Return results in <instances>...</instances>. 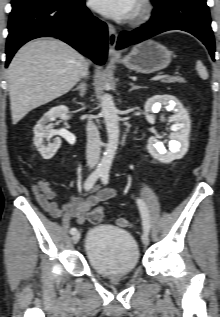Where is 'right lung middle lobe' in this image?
Here are the masks:
<instances>
[{
  "label": "right lung middle lobe",
  "mask_w": 220,
  "mask_h": 317,
  "mask_svg": "<svg viewBox=\"0 0 220 317\" xmlns=\"http://www.w3.org/2000/svg\"><path fill=\"white\" fill-rule=\"evenodd\" d=\"M75 0H12V8H17L20 6L33 4V3H60V2H66L71 3Z\"/></svg>",
  "instance_id": "dd1d6c3e"
}]
</instances>
